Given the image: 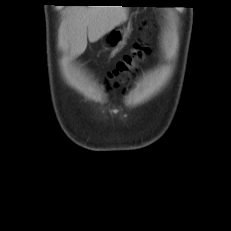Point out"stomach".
Returning a JSON list of instances; mask_svg holds the SVG:
<instances>
[{
	"label": "stomach",
	"instance_id": "obj_1",
	"mask_svg": "<svg viewBox=\"0 0 231 231\" xmlns=\"http://www.w3.org/2000/svg\"><path fill=\"white\" fill-rule=\"evenodd\" d=\"M130 29L122 28L120 25L104 35L103 43L106 47L115 49L121 45L127 37Z\"/></svg>",
	"mask_w": 231,
	"mask_h": 231
}]
</instances>
